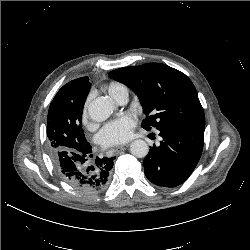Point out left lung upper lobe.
Instances as JSON below:
<instances>
[{
    "mask_svg": "<svg viewBox=\"0 0 250 250\" xmlns=\"http://www.w3.org/2000/svg\"><path fill=\"white\" fill-rule=\"evenodd\" d=\"M108 75L137 94L146 115L144 129L205 127L197 91L184 73L165 64L147 63L119 68Z\"/></svg>",
    "mask_w": 250,
    "mask_h": 250,
    "instance_id": "obj_1",
    "label": "left lung upper lobe"
}]
</instances>
